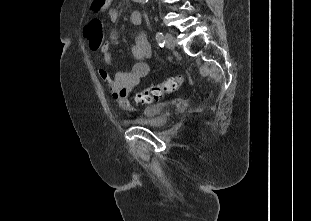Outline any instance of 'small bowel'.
I'll return each instance as SVG.
<instances>
[{
	"label": "small bowel",
	"instance_id": "1",
	"mask_svg": "<svg viewBox=\"0 0 311 221\" xmlns=\"http://www.w3.org/2000/svg\"><path fill=\"white\" fill-rule=\"evenodd\" d=\"M109 17L115 21L118 19L120 11L116 7H111L108 10ZM143 17L140 11L131 13V22L138 25L142 22ZM88 29V24L85 27ZM119 35L115 30L108 34V40L101 47L103 54V62L105 65L113 63V51L118 43ZM132 55L136 62L132 65L129 71H119L111 78L105 69L99 71V76L102 82L107 86L112 98L125 109H131L130 97L133 91L137 88L140 80L150 72V65L145 62V59H151L153 50L148 42L147 36L144 33L136 35L132 46Z\"/></svg>",
	"mask_w": 311,
	"mask_h": 221
}]
</instances>
